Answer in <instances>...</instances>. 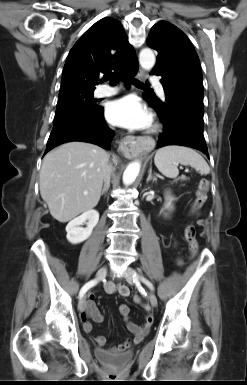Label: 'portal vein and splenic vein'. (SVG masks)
Instances as JSON below:
<instances>
[{"mask_svg": "<svg viewBox=\"0 0 247 385\" xmlns=\"http://www.w3.org/2000/svg\"><path fill=\"white\" fill-rule=\"evenodd\" d=\"M180 168H182V167H180ZM84 194H87V192H84Z\"/></svg>", "mask_w": 247, "mask_h": 385, "instance_id": "portal-vein-and-splenic-vein-1", "label": "portal vein and splenic vein"}]
</instances>
